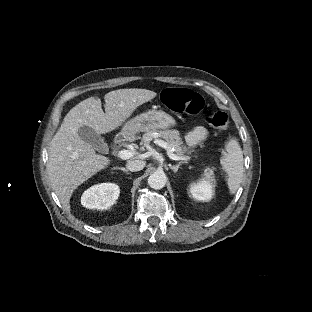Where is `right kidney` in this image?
<instances>
[{"label":"right kidney","instance_id":"obj_1","mask_svg":"<svg viewBox=\"0 0 312 312\" xmlns=\"http://www.w3.org/2000/svg\"><path fill=\"white\" fill-rule=\"evenodd\" d=\"M118 196V185L105 183L92 186L85 191L81 203L88 209L105 210L116 202Z\"/></svg>","mask_w":312,"mask_h":312}]
</instances>
